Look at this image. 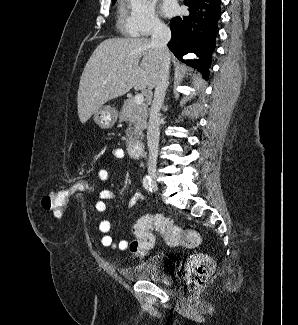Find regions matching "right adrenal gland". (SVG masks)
<instances>
[{
  "label": "right adrenal gland",
  "mask_w": 298,
  "mask_h": 325,
  "mask_svg": "<svg viewBox=\"0 0 298 325\" xmlns=\"http://www.w3.org/2000/svg\"><path fill=\"white\" fill-rule=\"evenodd\" d=\"M169 84H170V82H169V80H168V84H167V86H169ZM167 86H166V88H167Z\"/></svg>",
  "instance_id": "2a0ac1e0"
}]
</instances>
